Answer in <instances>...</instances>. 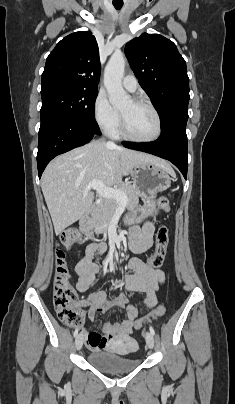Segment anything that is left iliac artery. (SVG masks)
I'll return each mask as SVG.
<instances>
[{"mask_svg":"<svg viewBox=\"0 0 235 404\" xmlns=\"http://www.w3.org/2000/svg\"><path fill=\"white\" fill-rule=\"evenodd\" d=\"M149 329H150L151 334H152V335H155V331H154L153 327H152V326H150V328H149Z\"/></svg>","mask_w":235,"mask_h":404,"instance_id":"obj_1","label":"left iliac artery"}]
</instances>
